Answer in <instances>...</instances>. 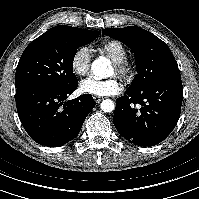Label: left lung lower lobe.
Masks as SVG:
<instances>
[{"label": "left lung lower lobe", "mask_w": 199, "mask_h": 199, "mask_svg": "<svg viewBox=\"0 0 199 199\" xmlns=\"http://www.w3.org/2000/svg\"><path fill=\"white\" fill-rule=\"evenodd\" d=\"M116 100L113 122L119 134L138 146H154L172 132L180 117L181 76L156 80L141 90H127Z\"/></svg>", "instance_id": "obj_1"}]
</instances>
